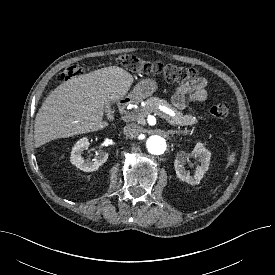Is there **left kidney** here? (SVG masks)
Returning a JSON list of instances; mask_svg holds the SVG:
<instances>
[{"label": "left kidney", "instance_id": "obj_1", "mask_svg": "<svg viewBox=\"0 0 275 275\" xmlns=\"http://www.w3.org/2000/svg\"><path fill=\"white\" fill-rule=\"evenodd\" d=\"M189 157L198 158L200 162L194 175H190V172L185 169V165L189 161ZM210 158V151L207 150L201 142H198L194 150L189 154H186L183 151L178 153L174 162L177 177L191 185L199 184L206 171L209 169Z\"/></svg>", "mask_w": 275, "mask_h": 275}]
</instances>
